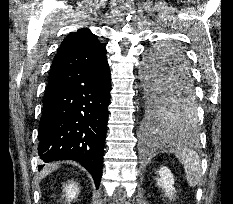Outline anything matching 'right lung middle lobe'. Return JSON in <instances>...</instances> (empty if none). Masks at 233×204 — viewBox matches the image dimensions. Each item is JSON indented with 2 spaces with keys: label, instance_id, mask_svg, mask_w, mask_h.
<instances>
[{
  "label": "right lung middle lobe",
  "instance_id": "right-lung-middle-lobe-1",
  "mask_svg": "<svg viewBox=\"0 0 233 204\" xmlns=\"http://www.w3.org/2000/svg\"><path fill=\"white\" fill-rule=\"evenodd\" d=\"M44 124H45V121L43 119H40L39 129L42 128Z\"/></svg>",
  "mask_w": 233,
  "mask_h": 204
}]
</instances>
